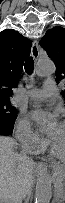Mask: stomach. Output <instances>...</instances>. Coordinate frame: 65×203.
<instances>
[{"instance_id":"stomach-1","label":"stomach","mask_w":65,"mask_h":203,"mask_svg":"<svg viewBox=\"0 0 65 203\" xmlns=\"http://www.w3.org/2000/svg\"><path fill=\"white\" fill-rule=\"evenodd\" d=\"M55 177V192L60 198V203H64L65 200V166L55 165L53 167Z\"/></svg>"}]
</instances>
